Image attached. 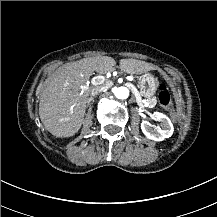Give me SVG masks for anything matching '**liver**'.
Wrapping results in <instances>:
<instances>
[{"mask_svg": "<svg viewBox=\"0 0 217 217\" xmlns=\"http://www.w3.org/2000/svg\"><path fill=\"white\" fill-rule=\"evenodd\" d=\"M115 65L112 57L94 56L66 64L48 77L39 101V117L44 128L59 138L76 135L83 125L91 74L113 72ZM119 69L122 73L142 75L159 68L145 61L125 58L120 59Z\"/></svg>", "mask_w": 217, "mask_h": 217, "instance_id": "liver-1", "label": "liver"}]
</instances>
